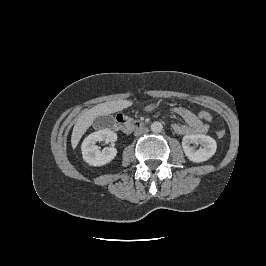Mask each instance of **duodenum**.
Masks as SVG:
<instances>
[{"label": "duodenum", "instance_id": "duodenum-1", "mask_svg": "<svg viewBox=\"0 0 266 266\" xmlns=\"http://www.w3.org/2000/svg\"><path fill=\"white\" fill-rule=\"evenodd\" d=\"M133 122H131L126 116L118 114L115 119V127L117 130L127 133L134 128Z\"/></svg>", "mask_w": 266, "mask_h": 266}]
</instances>
